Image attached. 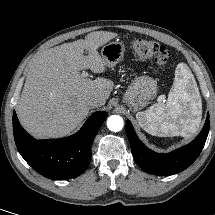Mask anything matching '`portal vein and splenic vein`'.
I'll use <instances>...</instances> for the list:
<instances>
[{
    "mask_svg": "<svg viewBox=\"0 0 215 215\" xmlns=\"http://www.w3.org/2000/svg\"><path fill=\"white\" fill-rule=\"evenodd\" d=\"M81 76L84 77V78L87 77L88 76V72L83 71L82 74H81Z\"/></svg>",
    "mask_w": 215,
    "mask_h": 215,
    "instance_id": "1",
    "label": "portal vein and splenic vein"
}]
</instances>
